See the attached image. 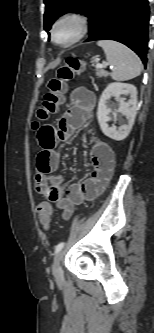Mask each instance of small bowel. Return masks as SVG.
Returning <instances> with one entry per match:
<instances>
[{"label": "small bowel", "instance_id": "c3829d8e", "mask_svg": "<svg viewBox=\"0 0 154 333\" xmlns=\"http://www.w3.org/2000/svg\"><path fill=\"white\" fill-rule=\"evenodd\" d=\"M95 101L91 90L77 87L71 94V106L59 120L58 126L45 124L36 129V139L41 150L36 157L35 190L47 202L60 209L64 219L71 217L76 205L101 195L114 173V152L102 136L95 133L90 151L93 165L91 175L83 182L70 184L64 190L62 177L56 174L60 164L59 143L69 139L76 130L87 124Z\"/></svg>", "mask_w": 154, "mask_h": 333}]
</instances>
